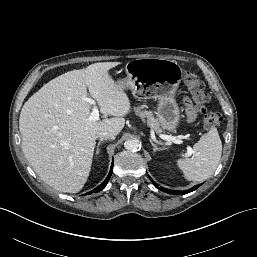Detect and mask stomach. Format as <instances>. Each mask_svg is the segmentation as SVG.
I'll return each instance as SVG.
<instances>
[{"label": "stomach", "mask_w": 257, "mask_h": 257, "mask_svg": "<svg viewBox=\"0 0 257 257\" xmlns=\"http://www.w3.org/2000/svg\"><path fill=\"white\" fill-rule=\"evenodd\" d=\"M125 70L126 78L116 83L130 89L134 96L158 100L157 120L164 130H174L180 119L175 100L182 77L180 65L175 60L140 58L129 61Z\"/></svg>", "instance_id": "0dacf381"}]
</instances>
